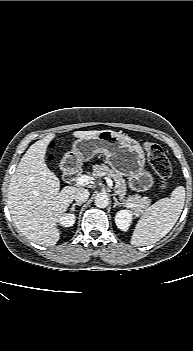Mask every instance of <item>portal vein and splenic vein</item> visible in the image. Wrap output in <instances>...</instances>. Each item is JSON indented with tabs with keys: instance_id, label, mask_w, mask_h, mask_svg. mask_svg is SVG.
<instances>
[{
	"instance_id": "18ae733b",
	"label": "portal vein and splenic vein",
	"mask_w": 193,
	"mask_h": 351,
	"mask_svg": "<svg viewBox=\"0 0 193 351\" xmlns=\"http://www.w3.org/2000/svg\"><path fill=\"white\" fill-rule=\"evenodd\" d=\"M76 182L78 185H81V186L88 185L90 183V177L87 175H82V176L76 178ZM106 182L110 188L113 186V181L109 177L106 178ZM128 205H129V207H134L133 204H128Z\"/></svg>"
}]
</instances>
